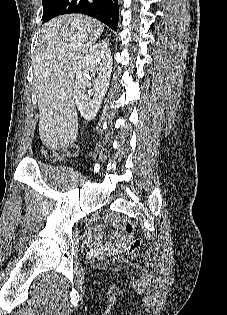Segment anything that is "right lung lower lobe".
<instances>
[{
	"mask_svg": "<svg viewBox=\"0 0 227 315\" xmlns=\"http://www.w3.org/2000/svg\"><path fill=\"white\" fill-rule=\"evenodd\" d=\"M70 13L89 15L117 31L119 21L117 0H57L44 12L43 22Z\"/></svg>",
	"mask_w": 227,
	"mask_h": 315,
	"instance_id": "obj_1",
	"label": "right lung lower lobe"
}]
</instances>
